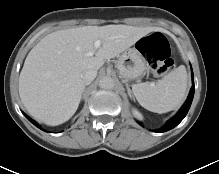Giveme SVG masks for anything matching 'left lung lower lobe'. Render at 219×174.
<instances>
[{
  "label": "left lung lower lobe",
  "instance_id": "obj_1",
  "mask_svg": "<svg viewBox=\"0 0 219 174\" xmlns=\"http://www.w3.org/2000/svg\"><path fill=\"white\" fill-rule=\"evenodd\" d=\"M192 78H194L193 72H192ZM194 80H193V86L190 90L189 96L186 100V102L184 103V105L182 106V108L179 110V112L171 119L169 120L164 127H162L161 129L157 130V132H166L168 130L173 129L174 127H176L186 116V114L188 113V110L191 106L192 100H193V96H194ZM141 124V123H140Z\"/></svg>",
  "mask_w": 219,
  "mask_h": 174
}]
</instances>
